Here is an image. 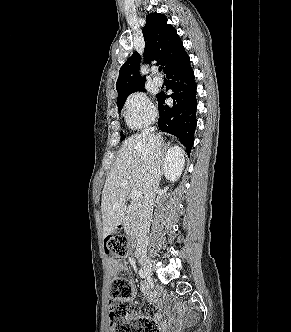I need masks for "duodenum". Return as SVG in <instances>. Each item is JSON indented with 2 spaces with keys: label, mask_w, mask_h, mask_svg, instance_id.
<instances>
[{
  "label": "duodenum",
  "mask_w": 291,
  "mask_h": 332,
  "mask_svg": "<svg viewBox=\"0 0 291 332\" xmlns=\"http://www.w3.org/2000/svg\"><path fill=\"white\" fill-rule=\"evenodd\" d=\"M133 243H134L135 245H138V243H139V237H138L137 235H135V236L133 237Z\"/></svg>",
  "instance_id": "410a0bca"
}]
</instances>
